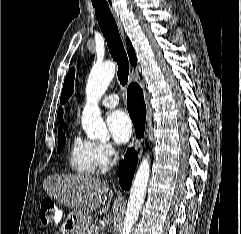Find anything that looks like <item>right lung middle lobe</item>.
Listing matches in <instances>:
<instances>
[{
	"instance_id": "dd1d6c3e",
	"label": "right lung middle lobe",
	"mask_w": 241,
	"mask_h": 234,
	"mask_svg": "<svg viewBox=\"0 0 241 234\" xmlns=\"http://www.w3.org/2000/svg\"><path fill=\"white\" fill-rule=\"evenodd\" d=\"M64 146H65V135L62 132V130H60L58 131V152H61Z\"/></svg>"
}]
</instances>
